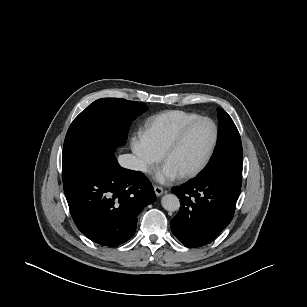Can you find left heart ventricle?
Wrapping results in <instances>:
<instances>
[{"instance_id":"1","label":"left heart ventricle","mask_w":307,"mask_h":307,"mask_svg":"<svg viewBox=\"0 0 307 307\" xmlns=\"http://www.w3.org/2000/svg\"><path fill=\"white\" fill-rule=\"evenodd\" d=\"M212 138L213 128L209 123L201 122L197 124L165 163L180 175L193 170L206 155Z\"/></svg>"}]
</instances>
